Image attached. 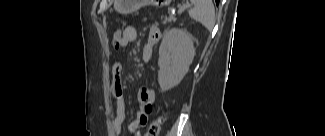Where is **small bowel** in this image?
Returning <instances> with one entry per match:
<instances>
[{
	"instance_id": "small-bowel-1",
	"label": "small bowel",
	"mask_w": 325,
	"mask_h": 136,
	"mask_svg": "<svg viewBox=\"0 0 325 136\" xmlns=\"http://www.w3.org/2000/svg\"><path fill=\"white\" fill-rule=\"evenodd\" d=\"M121 39L120 47L124 48L128 44L134 42L137 37V30L132 25H126L120 29ZM161 36L158 27L149 29L147 40L143 46L142 58L144 61H149L151 58L152 47ZM113 43L116 46V40L113 38ZM123 65L115 62L112 65V93L115 98V117L112 121V127L116 134H120L126 119V98L123 90ZM154 100V91L147 85L140 87L138 92V112L135 120L129 125V132L139 135L140 130L147 125L149 116L152 111Z\"/></svg>"
}]
</instances>
